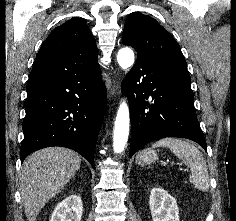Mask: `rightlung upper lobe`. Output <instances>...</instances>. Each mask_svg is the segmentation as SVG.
I'll return each mask as SVG.
<instances>
[{
	"instance_id": "1",
	"label": "right lung upper lobe",
	"mask_w": 236,
	"mask_h": 221,
	"mask_svg": "<svg viewBox=\"0 0 236 221\" xmlns=\"http://www.w3.org/2000/svg\"><path fill=\"white\" fill-rule=\"evenodd\" d=\"M96 42L87 24L73 17L56 27L42 44L27 87L99 69Z\"/></svg>"
}]
</instances>
